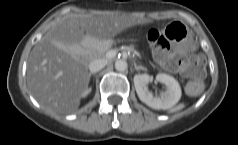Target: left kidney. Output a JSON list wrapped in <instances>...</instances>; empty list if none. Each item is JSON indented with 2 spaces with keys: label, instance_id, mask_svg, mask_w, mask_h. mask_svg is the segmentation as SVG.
I'll return each mask as SVG.
<instances>
[{
  "label": "left kidney",
  "instance_id": "left-kidney-1",
  "mask_svg": "<svg viewBox=\"0 0 238 145\" xmlns=\"http://www.w3.org/2000/svg\"><path fill=\"white\" fill-rule=\"evenodd\" d=\"M158 82L163 83L167 90L161 96H153L148 90L147 84L151 81L148 74L134 76V86L139 99L153 109H169L181 98V88L178 81L170 75L159 73L156 76Z\"/></svg>",
  "mask_w": 238,
  "mask_h": 145
}]
</instances>
